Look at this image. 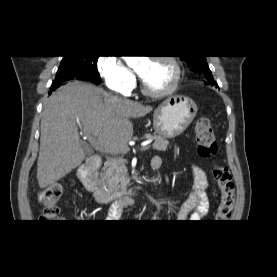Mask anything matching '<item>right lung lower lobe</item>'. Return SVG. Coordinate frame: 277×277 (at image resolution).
I'll use <instances>...</instances> for the list:
<instances>
[{
	"instance_id": "1",
	"label": "right lung lower lobe",
	"mask_w": 277,
	"mask_h": 277,
	"mask_svg": "<svg viewBox=\"0 0 277 277\" xmlns=\"http://www.w3.org/2000/svg\"><path fill=\"white\" fill-rule=\"evenodd\" d=\"M74 78H79V79H83V80H90L92 82L97 83L96 81L91 80L89 77L85 76V75H76L73 72L71 73H66V74H57L54 80V83L51 87L50 90V94L52 91H54L56 88H58L63 82L70 80V79H74Z\"/></svg>"
}]
</instances>
